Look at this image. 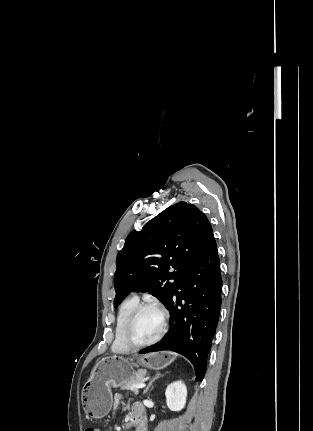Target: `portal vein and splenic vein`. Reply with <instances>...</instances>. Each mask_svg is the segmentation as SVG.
Wrapping results in <instances>:
<instances>
[{
    "label": "portal vein and splenic vein",
    "instance_id": "portal-vein-and-splenic-vein-1",
    "mask_svg": "<svg viewBox=\"0 0 313 431\" xmlns=\"http://www.w3.org/2000/svg\"><path fill=\"white\" fill-rule=\"evenodd\" d=\"M132 387L133 388H137V389L144 388L145 387V383L144 382H139V383L133 384Z\"/></svg>",
    "mask_w": 313,
    "mask_h": 431
}]
</instances>
